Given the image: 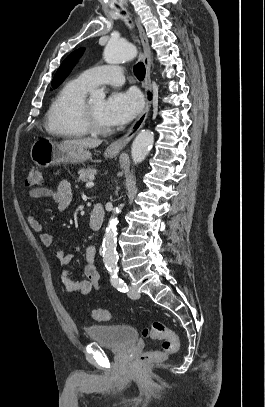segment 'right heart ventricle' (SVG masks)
I'll return each mask as SVG.
<instances>
[{"label":"right heart ventricle","instance_id":"obj_1","mask_svg":"<svg viewBox=\"0 0 265 407\" xmlns=\"http://www.w3.org/2000/svg\"><path fill=\"white\" fill-rule=\"evenodd\" d=\"M91 89L78 78L66 82L52 100L45 121L46 131L60 138H83L89 133L79 121L78 110Z\"/></svg>","mask_w":265,"mask_h":407}]
</instances>
